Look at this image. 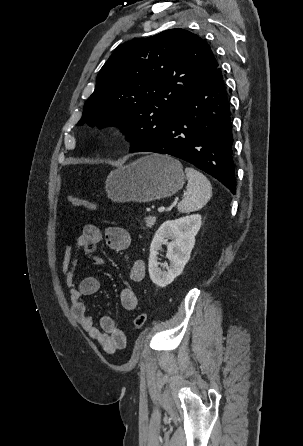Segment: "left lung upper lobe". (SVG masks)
I'll list each match as a JSON object with an SVG mask.
<instances>
[{
    "label": "left lung upper lobe",
    "mask_w": 303,
    "mask_h": 446,
    "mask_svg": "<svg viewBox=\"0 0 303 446\" xmlns=\"http://www.w3.org/2000/svg\"><path fill=\"white\" fill-rule=\"evenodd\" d=\"M217 67L210 46L184 29L126 43L101 68L78 125L121 128L133 153L164 131Z\"/></svg>",
    "instance_id": "obj_1"
}]
</instances>
